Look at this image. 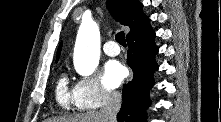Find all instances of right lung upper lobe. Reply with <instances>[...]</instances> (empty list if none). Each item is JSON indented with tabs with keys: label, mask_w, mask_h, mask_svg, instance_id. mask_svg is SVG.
<instances>
[{
	"label": "right lung upper lobe",
	"mask_w": 221,
	"mask_h": 122,
	"mask_svg": "<svg viewBox=\"0 0 221 122\" xmlns=\"http://www.w3.org/2000/svg\"><path fill=\"white\" fill-rule=\"evenodd\" d=\"M107 7L113 17L123 25L130 27L127 38L138 34L148 26L149 19L142 12V4L138 0H108ZM60 44L57 60L61 51Z\"/></svg>",
	"instance_id": "1"
}]
</instances>
